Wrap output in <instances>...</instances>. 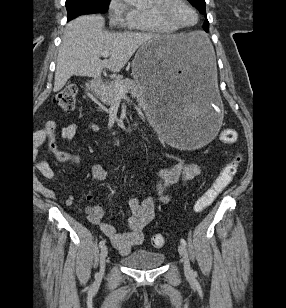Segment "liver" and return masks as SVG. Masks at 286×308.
Here are the masks:
<instances>
[{
    "label": "liver",
    "instance_id": "1",
    "mask_svg": "<svg viewBox=\"0 0 286 308\" xmlns=\"http://www.w3.org/2000/svg\"><path fill=\"white\" fill-rule=\"evenodd\" d=\"M104 25L105 20L99 15L79 16L66 25L58 50L54 92L61 90L73 75L98 78L104 68L114 73L120 72L135 51L152 39L168 37L188 57L207 37L203 32L179 35L108 33L104 31ZM104 51L110 52V57L101 60L100 55ZM207 54H210V48Z\"/></svg>",
    "mask_w": 286,
    "mask_h": 308
}]
</instances>
